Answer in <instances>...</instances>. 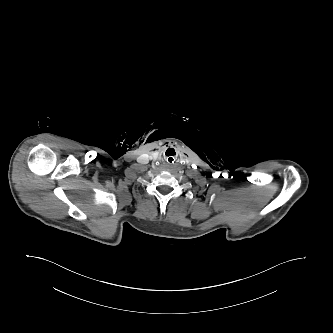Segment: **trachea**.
I'll use <instances>...</instances> for the list:
<instances>
[{"mask_svg":"<svg viewBox=\"0 0 333 333\" xmlns=\"http://www.w3.org/2000/svg\"><path fill=\"white\" fill-rule=\"evenodd\" d=\"M178 160H179V157H178V155H177L176 153H174V152H169V153H167L166 156H165V161H166V163L169 164V165H174V164H176V163L178 162Z\"/></svg>","mask_w":333,"mask_h":333,"instance_id":"trachea-1","label":"trachea"}]
</instances>
